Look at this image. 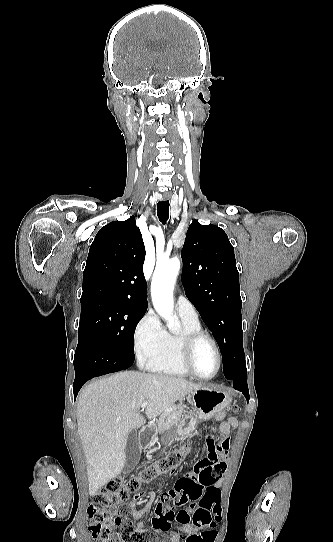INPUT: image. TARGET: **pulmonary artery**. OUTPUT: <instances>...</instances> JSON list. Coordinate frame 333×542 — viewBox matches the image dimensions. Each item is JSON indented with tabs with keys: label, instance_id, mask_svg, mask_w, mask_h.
<instances>
[{
	"label": "pulmonary artery",
	"instance_id": "obj_1",
	"mask_svg": "<svg viewBox=\"0 0 333 542\" xmlns=\"http://www.w3.org/2000/svg\"><path fill=\"white\" fill-rule=\"evenodd\" d=\"M176 311L180 316L190 320H198V314L194 305L183 294H179L176 300Z\"/></svg>",
	"mask_w": 333,
	"mask_h": 542
}]
</instances>
